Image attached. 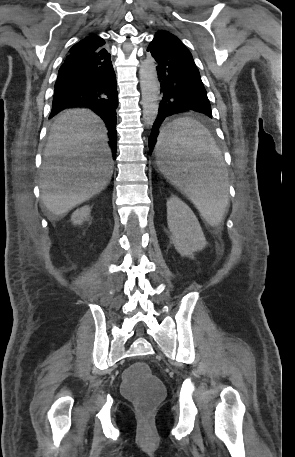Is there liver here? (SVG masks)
I'll return each mask as SVG.
<instances>
[{
	"instance_id": "1",
	"label": "liver",
	"mask_w": 295,
	"mask_h": 457,
	"mask_svg": "<svg viewBox=\"0 0 295 457\" xmlns=\"http://www.w3.org/2000/svg\"><path fill=\"white\" fill-rule=\"evenodd\" d=\"M107 129L88 109L60 113L53 125L41 167V199L55 216H62L99 194L113 173Z\"/></svg>"
}]
</instances>
